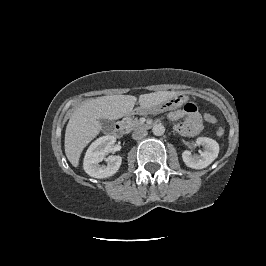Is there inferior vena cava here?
Instances as JSON below:
<instances>
[{
  "mask_svg": "<svg viewBox=\"0 0 266 266\" xmlns=\"http://www.w3.org/2000/svg\"><path fill=\"white\" fill-rule=\"evenodd\" d=\"M147 135V131L140 128V129H136L133 134H132V138L135 140H140L142 138H144Z\"/></svg>",
  "mask_w": 266,
  "mask_h": 266,
  "instance_id": "obj_1",
  "label": "inferior vena cava"
}]
</instances>
